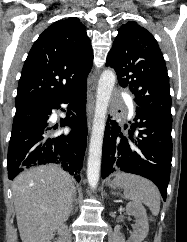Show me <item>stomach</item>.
Segmentation results:
<instances>
[{"label": "stomach", "mask_w": 187, "mask_h": 242, "mask_svg": "<svg viewBox=\"0 0 187 242\" xmlns=\"http://www.w3.org/2000/svg\"><path fill=\"white\" fill-rule=\"evenodd\" d=\"M114 182H115V179L112 180L111 182H109V185H110V186H114Z\"/></svg>", "instance_id": "0dacf381"}]
</instances>
